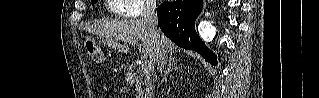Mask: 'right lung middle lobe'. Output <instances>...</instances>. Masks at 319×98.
<instances>
[{"mask_svg": "<svg viewBox=\"0 0 319 98\" xmlns=\"http://www.w3.org/2000/svg\"><path fill=\"white\" fill-rule=\"evenodd\" d=\"M93 4H95L97 2V0H91Z\"/></svg>", "mask_w": 319, "mask_h": 98, "instance_id": "1", "label": "right lung middle lobe"}]
</instances>
